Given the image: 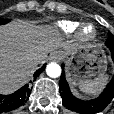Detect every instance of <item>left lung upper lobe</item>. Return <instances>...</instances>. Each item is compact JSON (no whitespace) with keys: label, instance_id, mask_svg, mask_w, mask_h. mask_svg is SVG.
<instances>
[{"label":"left lung upper lobe","instance_id":"5c2ea615","mask_svg":"<svg viewBox=\"0 0 114 114\" xmlns=\"http://www.w3.org/2000/svg\"><path fill=\"white\" fill-rule=\"evenodd\" d=\"M114 44V35L112 33H109V37L106 41V45H112Z\"/></svg>","mask_w":114,"mask_h":114}]
</instances>
